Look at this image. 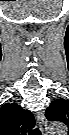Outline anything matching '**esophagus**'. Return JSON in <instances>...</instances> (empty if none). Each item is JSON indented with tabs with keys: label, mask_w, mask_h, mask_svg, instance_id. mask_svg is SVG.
<instances>
[{
	"label": "esophagus",
	"mask_w": 69,
	"mask_h": 135,
	"mask_svg": "<svg viewBox=\"0 0 69 135\" xmlns=\"http://www.w3.org/2000/svg\"><path fill=\"white\" fill-rule=\"evenodd\" d=\"M37 123L42 132L47 130V120L43 112L37 114Z\"/></svg>",
	"instance_id": "esophagus-1"
}]
</instances>
